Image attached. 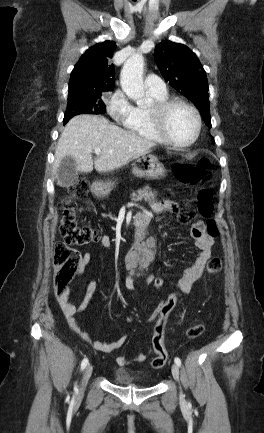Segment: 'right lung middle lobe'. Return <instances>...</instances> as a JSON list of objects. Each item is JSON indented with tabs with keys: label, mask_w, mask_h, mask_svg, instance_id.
Wrapping results in <instances>:
<instances>
[{
	"label": "right lung middle lobe",
	"mask_w": 264,
	"mask_h": 433,
	"mask_svg": "<svg viewBox=\"0 0 264 433\" xmlns=\"http://www.w3.org/2000/svg\"><path fill=\"white\" fill-rule=\"evenodd\" d=\"M102 93L68 98L67 110L64 115V125L75 115L81 113L103 114L106 106L101 99Z\"/></svg>",
	"instance_id": "obj_1"
}]
</instances>
